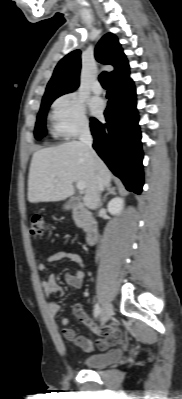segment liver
Returning a JSON list of instances; mask_svg holds the SVG:
<instances>
[{
    "label": "liver",
    "instance_id": "1",
    "mask_svg": "<svg viewBox=\"0 0 182 399\" xmlns=\"http://www.w3.org/2000/svg\"><path fill=\"white\" fill-rule=\"evenodd\" d=\"M111 179L105 163L79 141L39 149L34 152L29 169L28 201L64 200L74 194V183L82 181L84 205L94 210L100 201V191L110 186Z\"/></svg>",
    "mask_w": 182,
    "mask_h": 399
}]
</instances>
